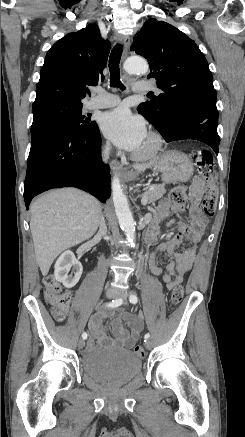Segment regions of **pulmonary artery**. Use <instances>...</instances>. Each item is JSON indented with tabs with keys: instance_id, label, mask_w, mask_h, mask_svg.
<instances>
[{
	"instance_id": "e3ab8cb5",
	"label": "pulmonary artery",
	"mask_w": 245,
	"mask_h": 437,
	"mask_svg": "<svg viewBox=\"0 0 245 437\" xmlns=\"http://www.w3.org/2000/svg\"><path fill=\"white\" fill-rule=\"evenodd\" d=\"M133 90L135 92H147L151 90L158 91L151 83L146 81H140L133 85ZM120 102L118 96L110 94L103 89H96V96L92 98L88 104L87 108L93 109H103L116 106Z\"/></svg>"
}]
</instances>
